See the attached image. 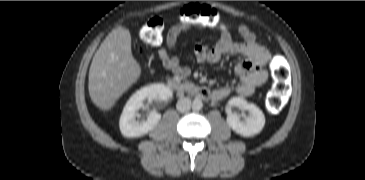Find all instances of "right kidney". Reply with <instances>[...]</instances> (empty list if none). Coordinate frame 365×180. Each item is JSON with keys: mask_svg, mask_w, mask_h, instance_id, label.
I'll return each instance as SVG.
<instances>
[{"mask_svg": "<svg viewBox=\"0 0 365 180\" xmlns=\"http://www.w3.org/2000/svg\"><path fill=\"white\" fill-rule=\"evenodd\" d=\"M171 97L172 90L162 83L145 86L134 93L127 101L120 117L119 126L122 135L127 138H134L153 130L161 120V114L156 111L151 112L146 121L136 120V117L139 116L138 111L144 107L143 101L148 99L151 102L157 98L167 101Z\"/></svg>", "mask_w": 365, "mask_h": 180, "instance_id": "obj_1", "label": "right kidney"}]
</instances>
